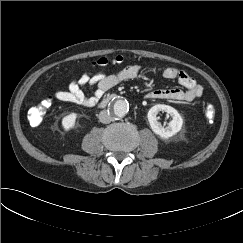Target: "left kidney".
<instances>
[{
	"label": "left kidney",
	"instance_id": "5707ae66",
	"mask_svg": "<svg viewBox=\"0 0 243 243\" xmlns=\"http://www.w3.org/2000/svg\"><path fill=\"white\" fill-rule=\"evenodd\" d=\"M166 112L172 117V120L166 127L162 126L158 122L157 114L160 112ZM148 121L152 131L161 138L168 139L179 132L183 125V119L176 109L164 104H157L150 108L147 114Z\"/></svg>",
	"mask_w": 243,
	"mask_h": 243
}]
</instances>
